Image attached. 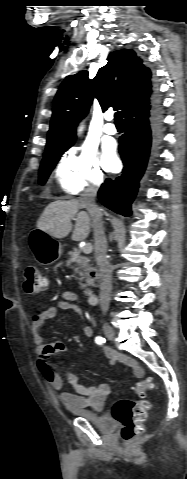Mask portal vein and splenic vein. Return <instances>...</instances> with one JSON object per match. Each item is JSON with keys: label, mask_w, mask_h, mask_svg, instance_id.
I'll list each match as a JSON object with an SVG mask.
<instances>
[{"label": "portal vein and splenic vein", "mask_w": 187, "mask_h": 479, "mask_svg": "<svg viewBox=\"0 0 187 479\" xmlns=\"http://www.w3.org/2000/svg\"><path fill=\"white\" fill-rule=\"evenodd\" d=\"M83 252H84L85 254L91 253V252H92V245H91V244H86V245L84 246V248H83Z\"/></svg>", "instance_id": "portal-vein-and-splenic-vein-1"}]
</instances>
